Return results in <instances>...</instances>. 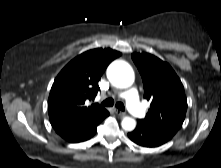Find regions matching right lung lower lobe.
Instances as JSON below:
<instances>
[{"mask_svg":"<svg viewBox=\"0 0 221 168\" xmlns=\"http://www.w3.org/2000/svg\"><path fill=\"white\" fill-rule=\"evenodd\" d=\"M108 115L109 112L106 111L103 116L96 119L95 121L83 122L73 128L60 130L56 132L68 142L72 143L82 142L90 139L96 133L97 125Z\"/></svg>","mask_w":221,"mask_h":168,"instance_id":"obj_1","label":"right lung lower lobe"}]
</instances>
